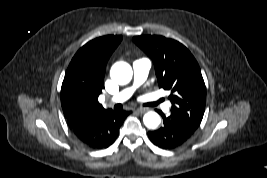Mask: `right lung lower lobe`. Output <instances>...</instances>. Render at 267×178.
Masks as SVG:
<instances>
[{"instance_id": "1", "label": "right lung lower lobe", "mask_w": 267, "mask_h": 178, "mask_svg": "<svg viewBox=\"0 0 267 178\" xmlns=\"http://www.w3.org/2000/svg\"><path fill=\"white\" fill-rule=\"evenodd\" d=\"M130 112L105 110L77 118L69 124L78 140L92 149H104L116 140L119 128Z\"/></svg>"}]
</instances>
